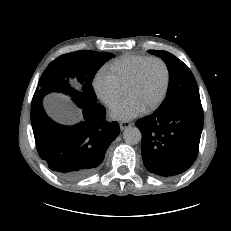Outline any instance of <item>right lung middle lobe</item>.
Listing matches in <instances>:
<instances>
[{
    "mask_svg": "<svg viewBox=\"0 0 231 231\" xmlns=\"http://www.w3.org/2000/svg\"><path fill=\"white\" fill-rule=\"evenodd\" d=\"M113 56L106 52L82 50L59 56L42 74L34 97H44L50 92H63L74 95V101L79 105L96 103L92 80L98 69ZM69 77H76L83 84V93L70 87Z\"/></svg>",
    "mask_w": 231,
    "mask_h": 231,
    "instance_id": "1",
    "label": "right lung middle lobe"
}]
</instances>
